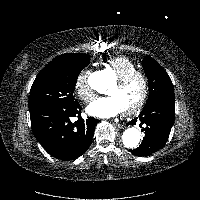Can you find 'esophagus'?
<instances>
[{"label":"esophagus","mask_w":200,"mask_h":200,"mask_svg":"<svg viewBox=\"0 0 200 200\" xmlns=\"http://www.w3.org/2000/svg\"><path fill=\"white\" fill-rule=\"evenodd\" d=\"M113 125L118 128V129H121L123 128V125L122 124H119V123H113Z\"/></svg>","instance_id":"esophagus-1"}]
</instances>
